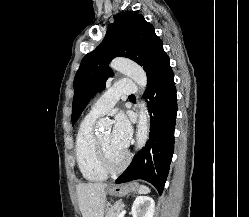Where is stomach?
<instances>
[{
  "label": "stomach",
  "instance_id": "stomach-1",
  "mask_svg": "<svg viewBox=\"0 0 249 217\" xmlns=\"http://www.w3.org/2000/svg\"><path fill=\"white\" fill-rule=\"evenodd\" d=\"M139 191V185L136 182H130L124 185H113L107 188V192L112 196L123 197L129 193Z\"/></svg>",
  "mask_w": 249,
  "mask_h": 217
}]
</instances>
